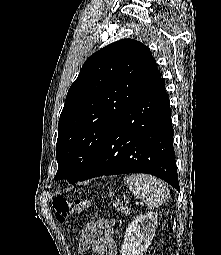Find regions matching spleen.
Returning <instances> with one entry per match:
<instances>
[{"instance_id":"1","label":"spleen","mask_w":221,"mask_h":255,"mask_svg":"<svg viewBox=\"0 0 221 255\" xmlns=\"http://www.w3.org/2000/svg\"><path fill=\"white\" fill-rule=\"evenodd\" d=\"M124 182L135 197L144 200L149 209L163 204L170 192L165 182L146 174L126 176Z\"/></svg>"}]
</instances>
